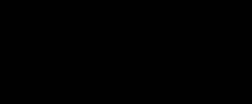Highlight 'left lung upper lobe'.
I'll return each mask as SVG.
<instances>
[{"label": "left lung upper lobe", "instance_id": "5c2ea615", "mask_svg": "<svg viewBox=\"0 0 252 104\" xmlns=\"http://www.w3.org/2000/svg\"><path fill=\"white\" fill-rule=\"evenodd\" d=\"M208 74H215L214 66L207 52L198 49L196 50L192 67L181 73L177 78H189Z\"/></svg>", "mask_w": 252, "mask_h": 104}]
</instances>
